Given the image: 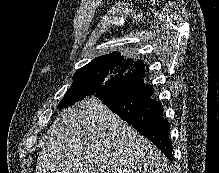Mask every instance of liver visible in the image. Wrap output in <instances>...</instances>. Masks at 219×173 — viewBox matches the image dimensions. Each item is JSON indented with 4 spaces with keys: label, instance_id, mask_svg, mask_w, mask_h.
<instances>
[{
    "label": "liver",
    "instance_id": "1",
    "mask_svg": "<svg viewBox=\"0 0 219 173\" xmlns=\"http://www.w3.org/2000/svg\"><path fill=\"white\" fill-rule=\"evenodd\" d=\"M166 167L150 141L88 97L58 115L35 173H157Z\"/></svg>",
    "mask_w": 219,
    "mask_h": 173
}]
</instances>
